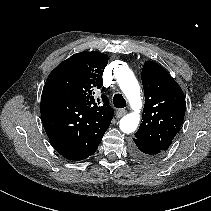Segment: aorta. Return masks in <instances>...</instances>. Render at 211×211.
I'll use <instances>...</instances> for the list:
<instances>
[{"mask_svg": "<svg viewBox=\"0 0 211 211\" xmlns=\"http://www.w3.org/2000/svg\"><path fill=\"white\" fill-rule=\"evenodd\" d=\"M115 75L120 89L127 97L131 108L134 112L123 116L120 120V130L123 133L130 134L134 132L140 122V109L142 107V99L140 86L133 72L124 67L115 70Z\"/></svg>", "mask_w": 211, "mask_h": 211, "instance_id": "aorta-1", "label": "aorta"}]
</instances>
